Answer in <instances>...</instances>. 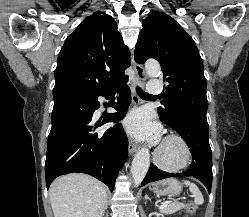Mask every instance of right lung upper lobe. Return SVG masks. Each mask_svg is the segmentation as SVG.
<instances>
[{"label": "right lung upper lobe", "mask_w": 249, "mask_h": 217, "mask_svg": "<svg viewBox=\"0 0 249 217\" xmlns=\"http://www.w3.org/2000/svg\"><path fill=\"white\" fill-rule=\"evenodd\" d=\"M129 49L117 23L104 12L86 17L68 36L58 56L53 91H98L127 77Z\"/></svg>", "instance_id": "cb5924a9"}]
</instances>
